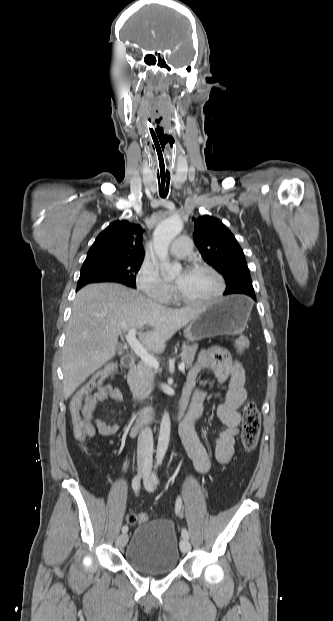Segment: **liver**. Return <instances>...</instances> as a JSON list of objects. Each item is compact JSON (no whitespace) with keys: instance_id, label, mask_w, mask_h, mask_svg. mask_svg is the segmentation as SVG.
<instances>
[{"instance_id":"obj_1","label":"liver","mask_w":333,"mask_h":621,"mask_svg":"<svg viewBox=\"0 0 333 621\" xmlns=\"http://www.w3.org/2000/svg\"><path fill=\"white\" fill-rule=\"evenodd\" d=\"M204 307L167 308L120 284L85 286L73 302L62 350L65 399L115 356L122 332L151 327L139 338L147 349L161 353L166 342Z\"/></svg>"}]
</instances>
